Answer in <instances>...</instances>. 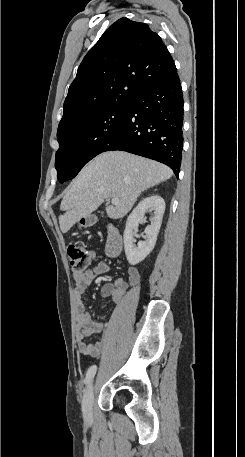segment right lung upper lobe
Segmentation results:
<instances>
[{
	"instance_id": "obj_1",
	"label": "right lung upper lobe",
	"mask_w": 245,
	"mask_h": 457,
	"mask_svg": "<svg viewBox=\"0 0 245 457\" xmlns=\"http://www.w3.org/2000/svg\"><path fill=\"white\" fill-rule=\"evenodd\" d=\"M176 71L161 38L147 24L121 18L80 64L59 125L111 102L132 100L151 80Z\"/></svg>"
}]
</instances>
